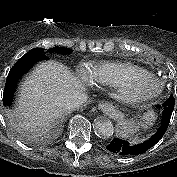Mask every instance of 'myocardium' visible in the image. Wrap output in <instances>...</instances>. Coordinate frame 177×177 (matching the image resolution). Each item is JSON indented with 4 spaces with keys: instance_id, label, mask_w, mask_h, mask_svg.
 Masks as SVG:
<instances>
[{
    "instance_id": "1",
    "label": "myocardium",
    "mask_w": 177,
    "mask_h": 177,
    "mask_svg": "<svg viewBox=\"0 0 177 177\" xmlns=\"http://www.w3.org/2000/svg\"><path fill=\"white\" fill-rule=\"evenodd\" d=\"M133 78L147 79L156 84L153 91H134L130 88L128 82ZM123 101L129 104H141L159 96L163 90V83L153 74L127 75L117 88Z\"/></svg>"
}]
</instances>
